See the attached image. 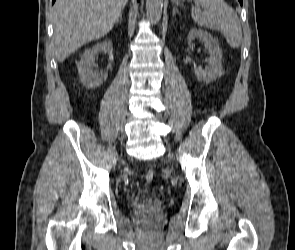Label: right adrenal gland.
Instances as JSON below:
<instances>
[{"instance_id":"obj_1","label":"right adrenal gland","mask_w":295,"mask_h":250,"mask_svg":"<svg viewBox=\"0 0 295 250\" xmlns=\"http://www.w3.org/2000/svg\"><path fill=\"white\" fill-rule=\"evenodd\" d=\"M122 21H123V20H122V15H121V16L119 17V19L116 21V23H118V22H119V23H122Z\"/></svg>"}]
</instances>
